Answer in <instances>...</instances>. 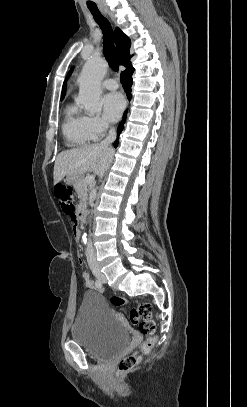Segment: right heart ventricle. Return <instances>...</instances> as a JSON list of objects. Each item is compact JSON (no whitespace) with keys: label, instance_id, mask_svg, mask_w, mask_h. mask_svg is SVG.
Instances as JSON below:
<instances>
[{"label":"right heart ventricle","instance_id":"obj_1","mask_svg":"<svg viewBox=\"0 0 247 407\" xmlns=\"http://www.w3.org/2000/svg\"><path fill=\"white\" fill-rule=\"evenodd\" d=\"M62 131L66 143L71 147H81L94 140L88 127L87 116L73 104L65 108Z\"/></svg>","mask_w":247,"mask_h":407}]
</instances>
